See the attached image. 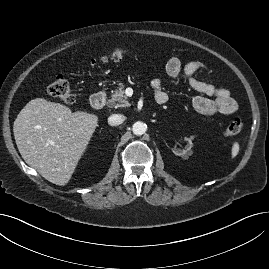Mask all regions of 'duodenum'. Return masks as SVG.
<instances>
[{
  "label": "duodenum",
  "instance_id": "duodenum-1",
  "mask_svg": "<svg viewBox=\"0 0 269 269\" xmlns=\"http://www.w3.org/2000/svg\"><path fill=\"white\" fill-rule=\"evenodd\" d=\"M166 102L164 98L157 100V103L162 105ZM91 106L94 109H102L106 104V95L104 92H96L90 98Z\"/></svg>",
  "mask_w": 269,
  "mask_h": 269
}]
</instances>
